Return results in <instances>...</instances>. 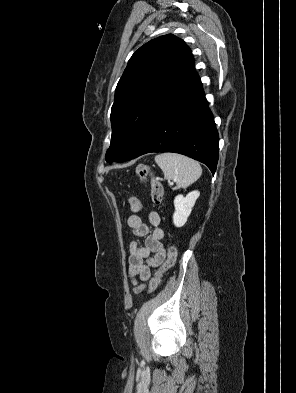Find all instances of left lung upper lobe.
<instances>
[{"label": "left lung upper lobe", "mask_w": 296, "mask_h": 393, "mask_svg": "<svg viewBox=\"0 0 296 393\" xmlns=\"http://www.w3.org/2000/svg\"><path fill=\"white\" fill-rule=\"evenodd\" d=\"M196 76L191 50L176 36H160L140 47L115 90L106 161L128 160L165 107Z\"/></svg>", "instance_id": "left-lung-upper-lobe-1"}]
</instances>
